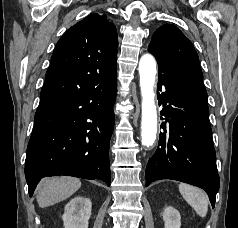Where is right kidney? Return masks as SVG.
Returning a JSON list of instances; mask_svg holds the SVG:
<instances>
[{
    "mask_svg": "<svg viewBox=\"0 0 238 228\" xmlns=\"http://www.w3.org/2000/svg\"><path fill=\"white\" fill-rule=\"evenodd\" d=\"M92 203L89 198L75 197L65 206L62 216L64 228H88Z\"/></svg>",
    "mask_w": 238,
    "mask_h": 228,
    "instance_id": "right-kidney-1",
    "label": "right kidney"
}]
</instances>
